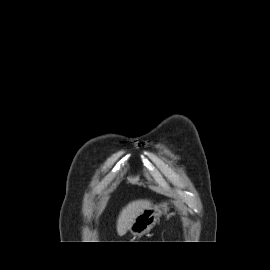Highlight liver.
Segmentation results:
<instances>
[{
  "mask_svg": "<svg viewBox=\"0 0 270 270\" xmlns=\"http://www.w3.org/2000/svg\"><path fill=\"white\" fill-rule=\"evenodd\" d=\"M150 206L151 202L146 199H139L128 203L122 209L117 219L116 228L118 235H123L129 231L137 216Z\"/></svg>",
  "mask_w": 270,
  "mask_h": 270,
  "instance_id": "1",
  "label": "liver"
}]
</instances>
